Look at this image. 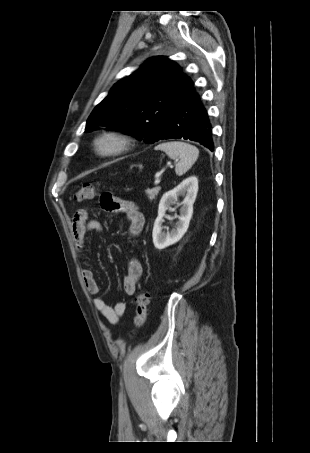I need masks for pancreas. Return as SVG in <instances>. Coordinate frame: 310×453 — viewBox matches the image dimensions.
I'll list each match as a JSON object with an SVG mask.
<instances>
[{"label":"pancreas","mask_w":310,"mask_h":453,"mask_svg":"<svg viewBox=\"0 0 310 453\" xmlns=\"http://www.w3.org/2000/svg\"><path fill=\"white\" fill-rule=\"evenodd\" d=\"M160 190H161L160 187H155V188H152V189L148 188V189L145 190V193L148 196L149 200L152 201V200L156 199V196L158 195Z\"/></svg>","instance_id":"obj_1"}]
</instances>
